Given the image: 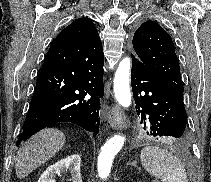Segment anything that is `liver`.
I'll use <instances>...</instances> for the list:
<instances>
[{
    "label": "liver",
    "instance_id": "6515ba94",
    "mask_svg": "<svg viewBox=\"0 0 211 182\" xmlns=\"http://www.w3.org/2000/svg\"><path fill=\"white\" fill-rule=\"evenodd\" d=\"M65 144V135L53 128L44 129L19 149L15 159L16 175L19 179L26 177L37 167L51 159Z\"/></svg>",
    "mask_w": 211,
    "mask_h": 182
}]
</instances>
